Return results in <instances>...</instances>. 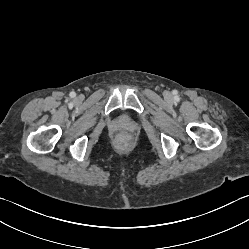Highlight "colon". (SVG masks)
Here are the masks:
<instances>
[{
  "mask_svg": "<svg viewBox=\"0 0 249 249\" xmlns=\"http://www.w3.org/2000/svg\"><path fill=\"white\" fill-rule=\"evenodd\" d=\"M123 141L129 142V141H130V138H128V137H122V138H121V142H123Z\"/></svg>",
  "mask_w": 249,
  "mask_h": 249,
  "instance_id": "5ec220e1",
  "label": "colon"
}]
</instances>
